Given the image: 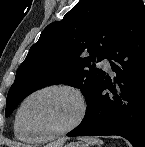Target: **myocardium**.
I'll return each instance as SVG.
<instances>
[{
    "instance_id": "1",
    "label": "myocardium",
    "mask_w": 145,
    "mask_h": 147,
    "mask_svg": "<svg viewBox=\"0 0 145 147\" xmlns=\"http://www.w3.org/2000/svg\"><path fill=\"white\" fill-rule=\"evenodd\" d=\"M50 91H64V92H67L73 95L78 102L77 115L67 126L61 129H58L52 132H47V133L28 135L32 141H40V140H45V139H50V138H55V137L65 135L71 132L72 130H74L77 126H79L81 122L83 121V119L85 118V115L87 112V103H86V100L82 92L78 88L72 85L51 84V85L44 86L42 88H39L31 92L22 100L16 112V116H15V125L17 126L19 130H21V116H22V112L26 104L35 96L45 93V92H50Z\"/></svg>"
}]
</instances>
